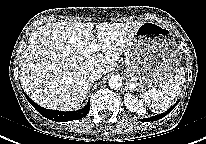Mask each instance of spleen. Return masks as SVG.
Returning <instances> with one entry per match:
<instances>
[{
    "instance_id": "3e777b00",
    "label": "spleen",
    "mask_w": 206,
    "mask_h": 144,
    "mask_svg": "<svg viewBox=\"0 0 206 144\" xmlns=\"http://www.w3.org/2000/svg\"><path fill=\"white\" fill-rule=\"evenodd\" d=\"M185 82L184 71L179 70L175 77H170L160 85L140 94L141 99L155 113H161L171 107L181 92Z\"/></svg>"
}]
</instances>
